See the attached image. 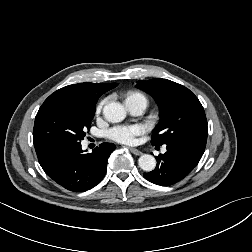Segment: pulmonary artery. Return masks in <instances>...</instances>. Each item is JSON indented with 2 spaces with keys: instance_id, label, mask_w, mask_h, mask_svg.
<instances>
[{
  "instance_id": "pulmonary-artery-1",
  "label": "pulmonary artery",
  "mask_w": 252,
  "mask_h": 252,
  "mask_svg": "<svg viewBox=\"0 0 252 252\" xmlns=\"http://www.w3.org/2000/svg\"><path fill=\"white\" fill-rule=\"evenodd\" d=\"M125 105L132 115H141L147 107V102L142 97H130L125 100Z\"/></svg>"
}]
</instances>
